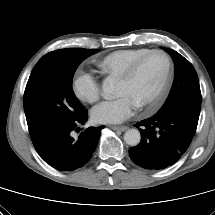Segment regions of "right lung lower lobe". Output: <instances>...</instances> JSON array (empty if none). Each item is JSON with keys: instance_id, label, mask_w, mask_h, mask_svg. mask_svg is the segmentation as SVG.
I'll return each instance as SVG.
<instances>
[{"instance_id": "right-lung-lower-lobe-1", "label": "right lung lower lobe", "mask_w": 215, "mask_h": 215, "mask_svg": "<svg viewBox=\"0 0 215 215\" xmlns=\"http://www.w3.org/2000/svg\"><path fill=\"white\" fill-rule=\"evenodd\" d=\"M87 121L86 110L75 119L45 133L33 141L40 157L50 166L61 171H73L84 166L96 149L104 126L89 127L79 137L74 131Z\"/></svg>"}]
</instances>
